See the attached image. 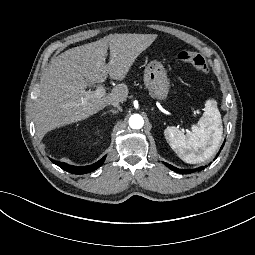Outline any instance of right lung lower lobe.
<instances>
[{
  "label": "right lung lower lobe",
  "instance_id": "98d812e1",
  "mask_svg": "<svg viewBox=\"0 0 255 255\" xmlns=\"http://www.w3.org/2000/svg\"><path fill=\"white\" fill-rule=\"evenodd\" d=\"M106 156H104L102 159H100L98 162L89 165V166H72L69 165L67 163H63V162H59V161H54L51 160L54 164H56L57 166L61 167L63 170L72 173V174H86V173H90L94 170H96L97 168H99L100 166H102V164L105 161Z\"/></svg>",
  "mask_w": 255,
  "mask_h": 255
}]
</instances>
